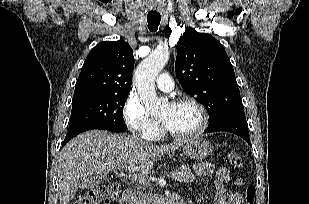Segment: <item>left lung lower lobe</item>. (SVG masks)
Wrapping results in <instances>:
<instances>
[{
    "mask_svg": "<svg viewBox=\"0 0 309 204\" xmlns=\"http://www.w3.org/2000/svg\"><path fill=\"white\" fill-rule=\"evenodd\" d=\"M226 131L234 133L250 144L247 121L243 111H234L220 116L214 122L209 123L205 133Z\"/></svg>",
    "mask_w": 309,
    "mask_h": 204,
    "instance_id": "1",
    "label": "left lung lower lobe"
}]
</instances>
